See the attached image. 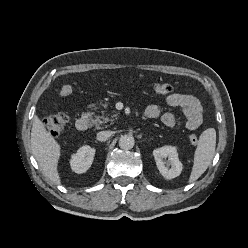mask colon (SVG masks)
Wrapping results in <instances>:
<instances>
[{
  "instance_id": "colon-1",
  "label": "colon",
  "mask_w": 248,
  "mask_h": 248,
  "mask_svg": "<svg viewBox=\"0 0 248 248\" xmlns=\"http://www.w3.org/2000/svg\"><path fill=\"white\" fill-rule=\"evenodd\" d=\"M155 93L159 95H169L173 91V87L169 83H157L154 85ZM73 88L71 85H63L59 91L61 97L67 98L71 96ZM68 122V116L64 113H57L54 115L48 116L44 120V127L47 132L52 136L59 135L62 130L65 128ZM189 141L196 145L198 143V138L195 134L189 136Z\"/></svg>"
}]
</instances>
